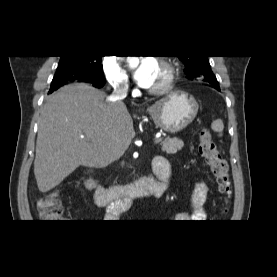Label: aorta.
Returning <instances> with one entry per match:
<instances>
[{"instance_id": "aorta-1", "label": "aorta", "mask_w": 277, "mask_h": 277, "mask_svg": "<svg viewBox=\"0 0 277 277\" xmlns=\"http://www.w3.org/2000/svg\"><path fill=\"white\" fill-rule=\"evenodd\" d=\"M130 63H131V64L137 63V59H136V58H131V59H130Z\"/></svg>"}]
</instances>
